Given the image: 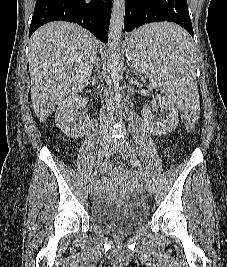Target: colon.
Returning <instances> with one entry per match:
<instances>
[{
	"instance_id": "colon-1",
	"label": "colon",
	"mask_w": 227,
	"mask_h": 267,
	"mask_svg": "<svg viewBox=\"0 0 227 267\" xmlns=\"http://www.w3.org/2000/svg\"><path fill=\"white\" fill-rule=\"evenodd\" d=\"M197 115H184L183 113H178V118L181 124L184 127L185 131H194L196 124L192 120V118H196Z\"/></svg>"
}]
</instances>
